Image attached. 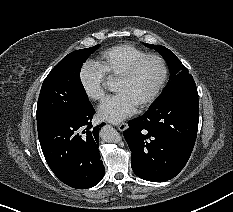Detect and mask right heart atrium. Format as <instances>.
<instances>
[{"label": "right heart atrium", "mask_w": 233, "mask_h": 212, "mask_svg": "<svg viewBox=\"0 0 233 212\" xmlns=\"http://www.w3.org/2000/svg\"><path fill=\"white\" fill-rule=\"evenodd\" d=\"M106 76L94 62H86L80 69L79 81L85 95L93 101L102 100L105 96Z\"/></svg>", "instance_id": "obj_1"}]
</instances>
